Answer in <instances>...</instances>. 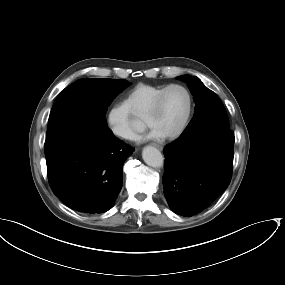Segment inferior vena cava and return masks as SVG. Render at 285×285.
Wrapping results in <instances>:
<instances>
[{
	"label": "inferior vena cava",
	"instance_id": "1",
	"mask_svg": "<svg viewBox=\"0 0 285 285\" xmlns=\"http://www.w3.org/2000/svg\"><path fill=\"white\" fill-rule=\"evenodd\" d=\"M119 135L124 137V138H130V137H133L134 136V133L130 130V129H127V128H121L119 130Z\"/></svg>",
	"mask_w": 285,
	"mask_h": 285
}]
</instances>
